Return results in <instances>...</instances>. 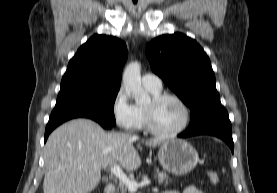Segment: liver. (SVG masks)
Returning <instances> with one entry per match:
<instances>
[{"label": "liver", "instance_id": "liver-1", "mask_svg": "<svg viewBox=\"0 0 277 193\" xmlns=\"http://www.w3.org/2000/svg\"><path fill=\"white\" fill-rule=\"evenodd\" d=\"M138 137L105 132L92 120H71L54 130L45 146L44 193H90L99 184L101 169L118 163L126 170L141 165L133 143ZM144 142V141H143ZM164 142H145L155 147Z\"/></svg>", "mask_w": 277, "mask_h": 193}]
</instances>
